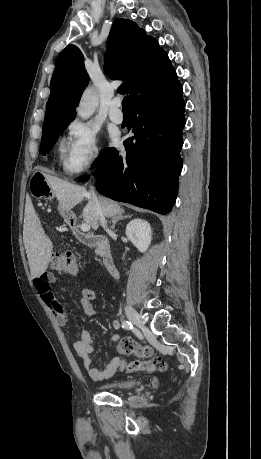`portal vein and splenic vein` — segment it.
I'll list each match as a JSON object with an SVG mask.
<instances>
[{"label": "portal vein and splenic vein", "mask_w": 261, "mask_h": 459, "mask_svg": "<svg viewBox=\"0 0 261 459\" xmlns=\"http://www.w3.org/2000/svg\"><path fill=\"white\" fill-rule=\"evenodd\" d=\"M90 228H91L90 225L87 224V223H83V224H81V226H80V229H81L83 232L89 231Z\"/></svg>", "instance_id": "portal-vein-and-splenic-vein-1"}]
</instances>
